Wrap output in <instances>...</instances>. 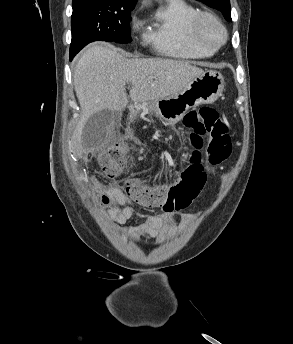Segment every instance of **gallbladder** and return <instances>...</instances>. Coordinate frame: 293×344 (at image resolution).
<instances>
[{
  "label": "gallbladder",
  "mask_w": 293,
  "mask_h": 344,
  "mask_svg": "<svg viewBox=\"0 0 293 344\" xmlns=\"http://www.w3.org/2000/svg\"><path fill=\"white\" fill-rule=\"evenodd\" d=\"M114 113L108 109L94 113L85 123L82 131V146L87 151L100 147L106 138Z\"/></svg>",
  "instance_id": "bac80fb5"
}]
</instances>
